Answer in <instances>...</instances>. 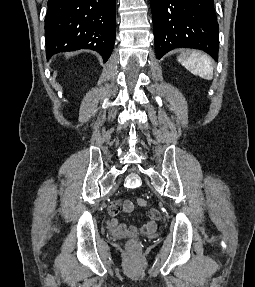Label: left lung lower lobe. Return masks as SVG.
Here are the masks:
<instances>
[{
  "label": "left lung lower lobe",
  "mask_w": 255,
  "mask_h": 287,
  "mask_svg": "<svg viewBox=\"0 0 255 287\" xmlns=\"http://www.w3.org/2000/svg\"><path fill=\"white\" fill-rule=\"evenodd\" d=\"M157 59L174 48L201 49L218 60L214 0H150Z\"/></svg>",
  "instance_id": "0a47b994"
}]
</instances>
